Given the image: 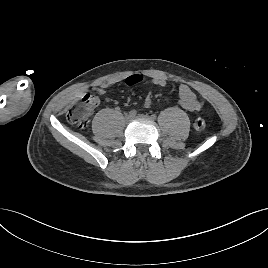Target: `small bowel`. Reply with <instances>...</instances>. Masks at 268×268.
Returning <instances> with one entry per match:
<instances>
[{"instance_id": "c3829d8e", "label": "small bowel", "mask_w": 268, "mask_h": 268, "mask_svg": "<svg viewBox=\"0 0 268 268\" xmlns=\"http://www.w3.org/2000/svg\"><path fill=\"white\" fill-rule=\"evenodd\" d=\"M144 77L140 74H134L126 78V84L128 86H134L143 81ZM151 82L159 87H163L166 85V80L160 76H154L151 78ZM112 87L111 83H103L97 88V92L100 94H104L107 92L109 88ZM179 94V105L191 112L199 111L203 103L198 100L196 93L186 84H181L178 88ZM152 103V99L150 96H147L144 100L145 107H149Z\"/></svg>"}]
</instances>
